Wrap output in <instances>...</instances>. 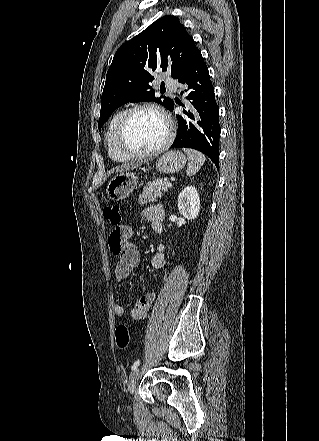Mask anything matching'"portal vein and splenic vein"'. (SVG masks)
<instances>
[{"mask_svg": "<svg viewBox=\"0 0 319 441\" xmlns=\"http://www.w3.org/2000/svg\"><path fill=\"white\" fill-rule=\"evenodd\" d=\"M172 184L171 183H167L166 188H171Z\"/></svg>", "mask_w": 319, "mask_h": 441, "instance_id": "portal-vein-and-splenic-vein-1", "label": "portal vein and splenic vein"}]
</instances>
